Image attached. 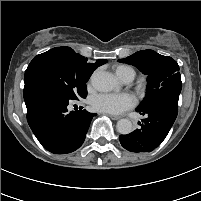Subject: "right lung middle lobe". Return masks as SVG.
<instances>
[{"label": "right lung middle lobe", "instance_id": "right-lung-middle-lobe-1", "mask_svg": "<svg viewBox=\"0 0 201 201\" xmlns=\"http://www.w3.org/2000/svg\"><path fill=\"white\" fill-rule=\"evenodd\" d=\"M39 81L60 90L71 100L86 98L88 78L77 74L65 56L49 50L37 55L25 71L24 82Z\"/></svg>", "mask_w": 201, "mask_h": 201}]
</instances>
